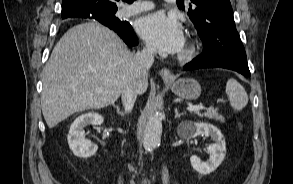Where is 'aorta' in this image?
Returning <instances> with one entry per match:
<instances>
[{
  "mask_svg": "<svg viewBox=\"0 0 293 184\" xmlns=\"http://www.w3.org/2000/svg\"><path fill=\"white\" fill-rule=\"evenodd\" d=\"M162 135V119L161 116L156 113L151 116L146 124L143 146L145 150L151 151L157 147L161 141Z\"/></svg>",
  "mask_w": 293,
  "mask_h": 184,
  "instance_id": "1",
  "label": "aorta"
}]
</instances>
